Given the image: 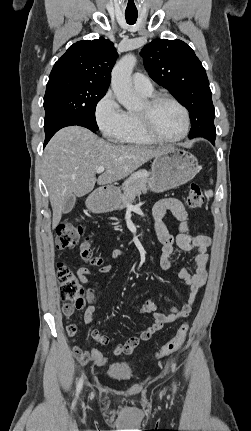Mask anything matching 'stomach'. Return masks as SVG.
<instances>
[{
    "label": "stomach",
    "mask_w": 251,
    "mask_h": 431,
    "mask_svg": "<svg viewBox=\"0 0 251 431\" xmlns=\"http://www.w3.org/2000/svg\"><path fill=\"white\" fill-rule=\"evenodd\" d=\"M150 173L148 189L163 192L192 180L199 172L197 159L189 152L170 146L155 157ZM120 189L108 187L99 189L86 200L87 208L94 213L113 211L120 204Z\"/></svg>",
    "instance_id": "1"
}]
</instances>
